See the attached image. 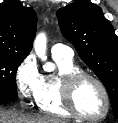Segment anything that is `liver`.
<instances>
[{"mask_svg":"<svg viewBox=\"0 0 118 123\" xmlns=\"http://www.w3.org/2000/svg\"><path fill=\"white\" fill-rule=\"evenodd\" d=\"M0 123H66L55 117L24 114L17 111H5L0 109Z\"/></svg>","mask_w":118,"mask_h":123,"instance_id":"6515ba94","label":"liver"}]
</instances>
